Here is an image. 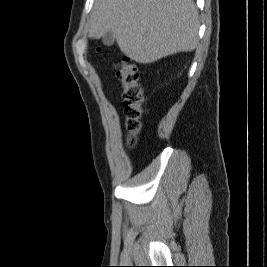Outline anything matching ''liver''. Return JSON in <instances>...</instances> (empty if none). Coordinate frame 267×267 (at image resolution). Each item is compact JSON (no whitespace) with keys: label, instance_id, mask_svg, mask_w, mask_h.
<instances>
[{"label":"liver","instance_id":"6515ba94","mask_svg":"<svg viewBox=\"0 0 267 267\" xmlns=\"http://www.w3.org/2000/svg\"><path fill=\"white\" fill-rule=\"evenodd\" d=\"M198 12L192 0H96L89 37L111 31L120 50L137 63L194 50Z\"/></svg>","mask_w":267,"mask_h":267}]
</instances>
